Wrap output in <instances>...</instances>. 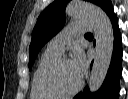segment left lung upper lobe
I'll use <instances>...</instances> for the list:
<instances>
[{
    "instance_id": "5c2ea615",
    "label": "left lung upper lobe",
    "mask_w": 128,
    "mask_h": 99,
    "mask_svg": "<svg viewBox=\"0 0 128 99\" xmlns=\"http://www.w3.org/2000/svg\"><path fill=\"white\" fill-rule=\"evenodd\" d=\"M70 0H55L38 17L32 32L29 47V69L31 70L35 58L43 45L56 35L65 22V7ZM100 6L103 0H90Z\"/></svg>"
}]
</instances>
